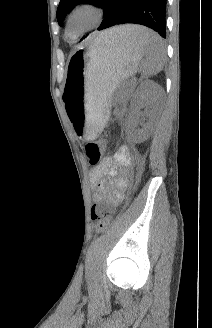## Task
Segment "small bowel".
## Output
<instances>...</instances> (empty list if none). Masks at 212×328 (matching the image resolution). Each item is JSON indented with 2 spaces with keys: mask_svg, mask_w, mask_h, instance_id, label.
<instances>
[{
  "mask_svg": "<svg viewBox=\"0 0 212 328\" xmlns=\"http://www.w3.org/2000/svg\"><path fill=\"white\" fill-rule=\"evenodd\" d=\"M131 165V157L127 147H120L112 156L103 158L89 173V180L94 189V199L97 203L116 206L124 199V191L128 185L127 169ZM105 176L116 177L115 190L106 196L108 184Z\"/></svg>",
  "mask_w": 212,
  "mask_h": 328,
  "instance_id": "c3829d8e",
  "label": "small bowel"
}]
</instances>
